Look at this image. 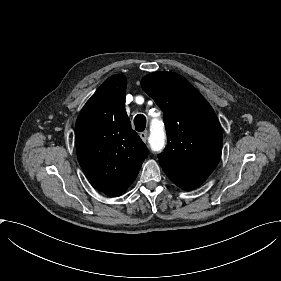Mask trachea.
<instances>
[{
    "label": "trachea",
    "instance_id": "3493384b",
    "mask_svg": "<svg viewBox=\"0 0 281 281\" xmlns=\"http://www.w3.org/2000/svg\"><path fill=\"white\" fill-rule=\"evenodd\" d=\"M135 130L138 132H142L146 127V117L142 114H138L134 118Z\"/></svg>",
    "mask_w": 281,
    "mask_h": 281
}]
</instances>
